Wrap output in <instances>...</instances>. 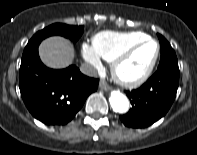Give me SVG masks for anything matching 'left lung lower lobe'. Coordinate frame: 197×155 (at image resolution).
<instances>
[{"label": "left lung lower lobe", "instance_id": "obj_1", "mask_svg": "<svg viewBox=\"0 0 197 155\" xmlns=\"http://www.w3.org/2000/svg\"><path fill=\"white\" fill-rule=\"evenodd\" d=\"M179 85V69H157L140 88L127 91L132 108L120 119L127 127L143 128L162 118L171 107Z\"/></svg>", "mask_w": 197, "mask_h": 155}]
</instances>
